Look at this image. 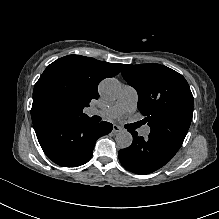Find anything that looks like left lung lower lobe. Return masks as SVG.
Here are the masks:
<instances>
[{
	"label": "left lung lower lobe",
	"mask_w": 219,
	"mask_h": 219,
	"mask_svg": "<svg viewBox=\"0 0 219 219\" xmlns=\"http://www.w3.org/2000/svg\"><path fill=\"white\" fill-rule=\"evenodd\" d=\"M132 144L119 150V160L129 171L140 175L152 173L167 164L179 149L170 143L149 134L144 138L130 131Z\"/></svg>",
	"instance_id": "obj_1"
}]
</instances>
